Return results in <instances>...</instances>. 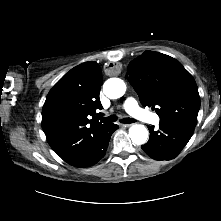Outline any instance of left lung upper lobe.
<instances>
[{"instance_id": "1", "label": "left lung upper lobe", "mask_w": 221, "mask_h": 221, "mask_svg": "<svg viewBox=\"0 0 221 221\" xmlns=\"http://www.w3.org/2000/svg\"><path fill=\"white\" fill-rule=\"evenodd\" d=\"M128 81L162 123L197 122L200 97L192 75L176 59L145 51L128 65Z\"/></svg>"}]
</instances>
